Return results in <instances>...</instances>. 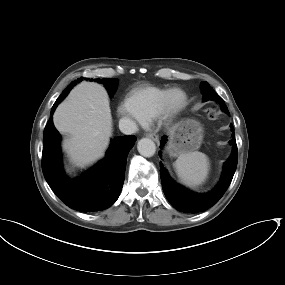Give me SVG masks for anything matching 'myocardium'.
Masks as SVG:
<instances>
[{
	"instance_id": "1",
	"label": "myocardium",
	"mask_w": 285,
	"mask_h": 285,
	"mask_svg": "<svg viewBox=\"0 0 285 285\" xmlns=\"http://www.w3.org/2000/svg\"><path fill=\"white\" fill-rule=\"evenodd\" d=\"M179 94L181 99L179 102L175 103L173 101V96ZM188 104L187 93L178 87L171 88L168 90L165 99L161 105L160 111L156 119H158L163 124L170 123L178 114H180Z\"/></svg>"
}]
</instances>
